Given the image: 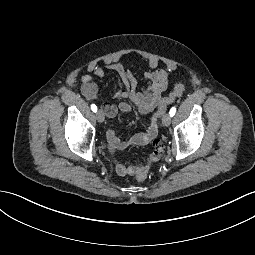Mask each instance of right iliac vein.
<instances>
[{
  "instance_id": "1",
  "label": "right iliac vein",
  "mask_w": 255,
  "mask_h": 255,
  "mask_svg": "<svg viewBox=\"0 0 255 255\" xmlns=\"http://www.w3.org/2000/svg\"><path fill=\"white\" fill-rule=\"evenodd\" d=\"M96 118H97L99 123H102L105 119L104 113L101 110H98L96 112Z\"/></svg>"
}]
</instances>
